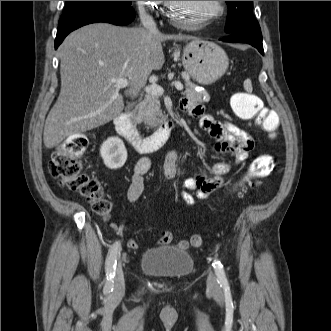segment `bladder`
<instances>
[{"instance_id": "31cf9c89", "label": "bladder", "mask_w": 331, "mask_h": 331, "mask_svg": "<svg viewBox=\"0 0 331 331\" xmlns=\"http://www.w3.org/2000/svg\"><path fill=\"white\" fill-rule=\"evenodd\" d=\"M139 267L157 278L178 279L191 274L194 260L189 250L166 244L146 249Z\"/></svg>"}]
</instances>
